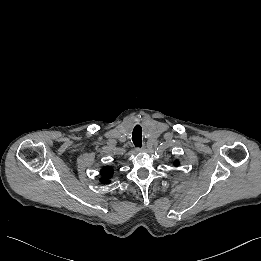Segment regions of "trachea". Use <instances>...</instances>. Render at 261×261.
I'll list each match as a JSON object with an SVG mask.
<instances>
[{
	"label": "trachea",
	"instance_id": "1",
	"mask_svg": "<svg viewBox=\"0 0 261 261\" xmlns=\"http://www.w3.org/2000/svg\"><path fill=\"white\" fill-rule=\"evenodd\" d=\"M132 141L136 148H141L142 146V128L140 125H136L132 132Z\"/></svg>",
	"mask_w": 261,
	"mask_h": 261
}]
</instances>
